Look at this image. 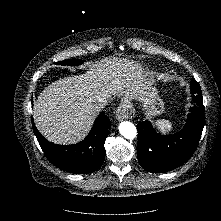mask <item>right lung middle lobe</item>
<instances>
[{"label": "right lung middle lobe", "mask_w": 221, "mask_h": 221, "mask_svg": "<svg viewBox=\"0 0 221 221\" xmlns=\"http://www.w3.org/2000/svg\"><path fill=\"white\" fill-rule=\"evenodd\" d=\"M83 61L81 59H71V60H64L57 62L58 65H69V66H76L82 64Z\"/></svg>", "instance_id": "1"}]
</instances>
